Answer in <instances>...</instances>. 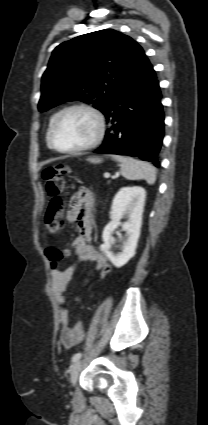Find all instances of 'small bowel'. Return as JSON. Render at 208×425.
I'll use <instances>...</instances> for the list:
<instances>
[{
  "mask_svg": "<svg viewBox=\"0 0 208 425\" xmlns=\"http://www.w3.org/2000/svg\"><path fill=\"white\" fill-rule=\"evenodd\" d=\"M94 204V193L86 187L79 188L71 197L67 220L77 225L79 233L72 242L76 259L65 269L59 267L51 271V288L55 300L60 307V340L66 348H71L79 344L85 335L82 323L77 322L74 325L70 324L68 310L64 307V295L68 290L69 283L77 267L80 263L85 261L93 262L95 264V270L98 272L103 267L109 266L107 258L91 244L94 228Z\"/></svg>",
  "mask_w": 208,
  "mask_h": 425,
  "instance_id": "1",
  "label": "small bowel"
}]
</instances>
